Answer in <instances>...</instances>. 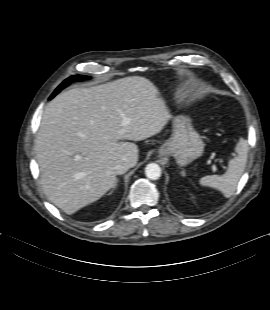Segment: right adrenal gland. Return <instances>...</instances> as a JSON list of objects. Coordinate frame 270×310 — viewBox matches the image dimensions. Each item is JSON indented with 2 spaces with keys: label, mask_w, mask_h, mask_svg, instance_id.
Here are the masks:
<instances>
[{
  "label": "right adrenal gland",
  "mask_w": 270,
  "mask_h": 310,
  "mask_svg": "<svg viewBox=\"0 0 270 310\" xmlns=\"http://www.w3.org/2000/svg\"><path fill=\"white\" fill-rule=\"evenodd\" d=\"M117 185H118V180H116V183H115L113 189L109 192V195L113 193V191L116 189Z\"/></svg>",
  "instance_id": "right-adrenal-gland-1"
}]
</instances>
